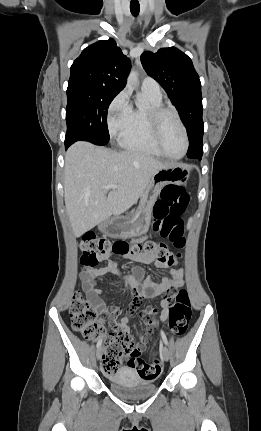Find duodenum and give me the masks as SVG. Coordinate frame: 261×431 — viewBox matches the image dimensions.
<instances>
[{
    "label": "duodenum",
    "mask_w": 261,
    "mask_h": 431,
    "mask_svg": "<svg viewBox=\"0 0 261 431\" xmlns=\"http://www.w3.org/2000/svg\"><path fill=\"white\" fill-rule=\"evenodd\" d=\"M105 226H106V227H109V225H108V224H105Z\"/></svg>",
    "instance_id": "410a0bca"
}]
</instances>
